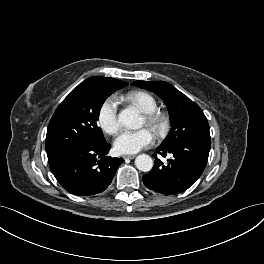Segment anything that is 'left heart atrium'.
I'll return each mask as SVG.
<instances>
[{"label":"left heart atrium","instance_id":"39dd6f15","mask_svg":"<svg viewBox=\"0 0 264 264\" xmlns=\"http://www.w3.org/2000/svg\"><path fill=\"white\" fill-rule=\"evenodd\" d=\"M154 142L153 133L142 128L136 131L123 130L114 141V148L119 154H135Z\"/></svg>","mask_w":264,"mask_h":264}]
</instances>
